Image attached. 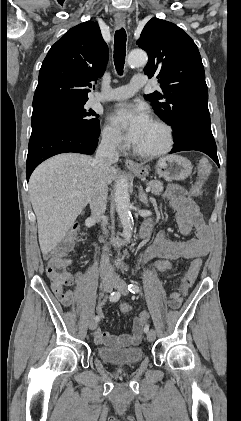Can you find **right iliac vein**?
Masks as SVG:
<instances>
[{"mask_svg":"<svg viewBox=\"0 0 241 421\" xmlns=\"http://www.w3.org/2000/svg\"><path fill=\"white\" fill-rule=\"evenodd\" d=\"M105 292H111L114 286V283L111 279H104L101 284ZM97 327V321L92 319L89 321V329L94 330Z\"/></svg>","mask_w":241,"mask_h":421,"instance_id":"obj_1","label":"right iliac vein"}]
</instances>
